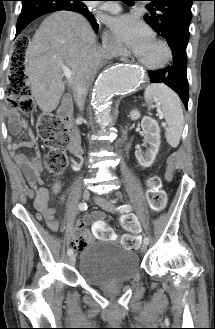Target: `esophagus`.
<instances>
[{"label": "esophagus", "mask_w": 215, "mask_h": 329, "mask_svg": "<svg viewBox=\"0 0 215 329\" xmlns=\"http://www.w3.org/2000/svg\"><path fill=\"white\" fill-rule=\"evenodd\" d=\"M121 60H122V61H129V58L126 57V56H123V57L121 58Z\"/></svg>", "instance_id": "34e87169"}]
</instances>
